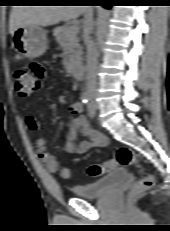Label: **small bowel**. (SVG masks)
<instances>
[{
    "label": "small bowel",
    "mask_w": 170,
    "mask_h": 231,
    "mask_svg": "<svg viewBox=\"0 0 170 231\" xmlns=\"http://www.w3.org/2000/svg\"><path fill=\"white\" fill-rule=\"evenodd\" d=\"M29 71L38 84L46 76L45 65L40 61L32 62ZM82 110V105L79 102L72 103L68 107L71 120L68 142L65 145V150L68 153L84 154L92 147H103L107 143L102 134L88 125L85 117L82 115ZM25 120L30 129L37 130L39 128V122L34 115H26ZM79 135L83 136L84 140L76 143ZM36 151L39 160L49 171H55L58 168L57 158L47 151L45 138L40 137L36 140Z\"/></svg>",
    "instance_id": "c3829d8e"
}]
</instances>
